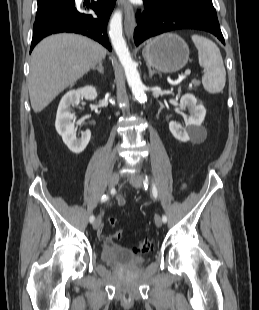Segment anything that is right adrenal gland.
<instances>
[{"label": "right adrenal gland", "instance_id": "right-adrenal-gland-1", "mask_svg": "<svg viewBox=\"0 0 259 310\" xmlns=\"http://www.w3.org/2000/svg\"><path fill=\"white\" fill-rule=\"evenodd\" d=\"M92 70H97L99 73L104 74L103 62H99L98 66L92 68Z\"/></svg>", "mask_w": 259, "mask_h": 310}]
</instances>
